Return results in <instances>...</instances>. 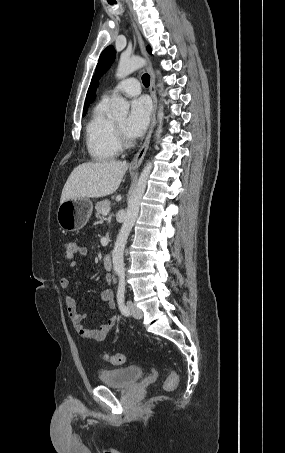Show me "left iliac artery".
<instances>
[{"mask_svg": "<svg viewBox=\"0 0 285 453\" xmlns=\"http://www.w3.org/2000/svg\"><path fill=\"white\" fill-rule=\"evenodd\" d=\"M125 274L124 272H119V285L117 290V302L121 313L125 316L130 315L129 309L126 307L125 303Z\"/></svg>", "mask_w": 285, "mask_h": 453, "instance_id": "1", "label": "left iliac artery"}]
</instances>
